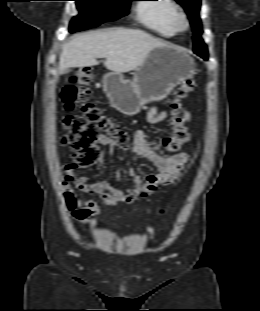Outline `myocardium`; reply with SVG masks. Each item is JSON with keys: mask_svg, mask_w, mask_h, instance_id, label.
Segmentation results:
<instances>
[{"mask_svg": "<svg viewBox=\"0 0 260 311\" xmlns=\"http://www.w3.org/2000/svg\"><path fill=\"white\" fill-rule=\"evenodd\" d=\"M173 26L176 32H182L189 28V22L186 14L179 7H177L175 11Z\"/></svg>", "mask_w": 260, "mask_h": 311, "instance_id": "f54148a6", "label": "myocardium"}]
</instances>
